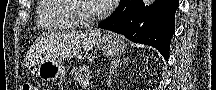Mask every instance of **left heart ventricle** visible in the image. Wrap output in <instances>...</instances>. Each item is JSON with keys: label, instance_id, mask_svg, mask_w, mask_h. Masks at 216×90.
<instances>
[{"label": "left heart ventricle", "instance_id": "b2bd125f", "mask_svg": "<svg viewBox=\"0 0 216 90\" xmlns=\"http://www.w3.org/2000/svg\"><path fill=\"white\" fill-rule=\"evenodd\" d=\"M100 5L99 1H77L76 10L82 15L93 17L97 14Z\"/></svg>", "mask_w": 216, "mask_h": 90}]
</instances>
